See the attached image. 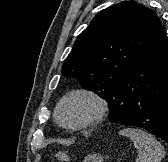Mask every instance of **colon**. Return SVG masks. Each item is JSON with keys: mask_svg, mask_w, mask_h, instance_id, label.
<instances>
[{"mask_svg": "<svg viewBox=\"0 0 168 162\" xmlns=\"http://www.w3.org/2000/svg\"><path fill=\"white\" fill-rule=\"evenodd\" d=\"M54 159L61 162H67L69 160V157L63 152H56L54 154Z\"/></svg>", "mask_w": 168, "mask_h": 162, "instance_id": "colon-1", "label": "colon"}]
</instances>
